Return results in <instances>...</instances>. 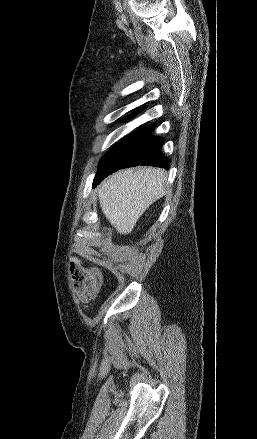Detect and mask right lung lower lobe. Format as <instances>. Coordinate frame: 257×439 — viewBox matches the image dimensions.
<instances>
[{
    "instance_id": "98d812e1",
    "label": "right lung lower lobe",
    "mask_w": 257,
    "mask_h": 439,
    "mask_svg": "<svg viewBox=\"0 0 257 439\" xmlns=\"http://www.w3.org/2000/svg\"><path fill=\"white\" fill-rule=\"evenodd\" d=\"M154 125L142 127L115 144L101 159L93 187L111 173L137 165L168 169L170 160L163 156L164 139L152 136Z\"/></svg>"
}]
</instances>
